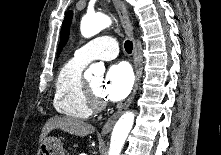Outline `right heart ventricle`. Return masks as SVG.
Returning a JSON list of instances; mask_svg holds the SVG:
<instances>
[{
  "label": "right heart ventricle",
  "instance_id": "e07e8e85",
  "mask_svg": "<svg viewBox=\"0 0 221 155\" xmlns=\"http://www.w3.org/2000/svg\"><path fill=\"white\" fill-rule=\"evenodd\" d=\"M85 65L86 63L74 57L68 60L57 74L53 105L63 115L86 119L92 113L83 93L82 72Z\"/></svg>",
  "mask_w": 221,
  "mask_h": 155
}]
</instances>
